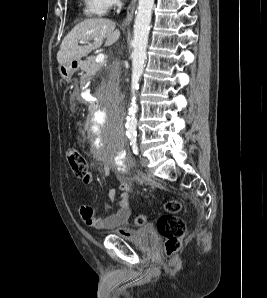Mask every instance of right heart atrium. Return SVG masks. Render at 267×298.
I'll return each instance as SVG.
<instances>
[{
	"label": "right heart atrium",
	"mask_w": 267,
	"mask_h": 298,
	"mask_svg": "<svg viewBox=\"0 0 267 298\" xmlns=\"http://www.w3.org/2000/svg\"><path fill=\"white\" fill-rule=\"evenodd\" d=\"M105 10L111 9L117 5L118 0H103Z\"/></svg>",
	"instance_id": "obj_1"
}]
</instances>
